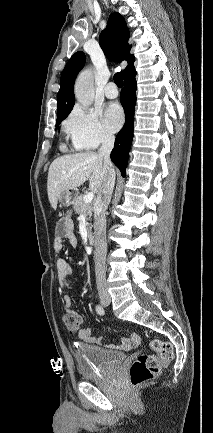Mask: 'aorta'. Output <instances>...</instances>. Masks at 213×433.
I'll use <instances>...</instances> for the list:
<instances>
[{
  "instance_id": "obj_1",
  "label": "aorta",
  "mask_w": 213,
  "mask_h": 433,
  "mask_svg": "<svg viewBox=\"0 0 213 433\" xmlns=\"http://www.w3.org/2000/svg\"><path fill=\"white\" fill-rule=\"evenodd\" d=\"M74 93L83 107H89L94 100L93 73L91 69L82 71L76 79Z\"/></svg>"
}]
</instances>
